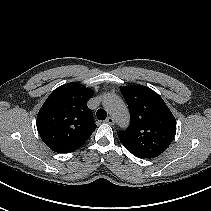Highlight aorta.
<instances>
[{
  "label": "aorta",
  "instance_id": "1",
  "mask_svg": "<svg viewBox=\"0 0 211 211\" xmlns=\"http://www.w3.org/2000/svg\"><path fill=\"white\" fill-rule=\"evenodd\" d=\"M103 106L114 117L121 127L129 123V112L124 102L114 94H107L103 100Z\"/></svg>",
  "mask_w": 211,
  "mask_h": 211
}]
</instances>
